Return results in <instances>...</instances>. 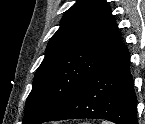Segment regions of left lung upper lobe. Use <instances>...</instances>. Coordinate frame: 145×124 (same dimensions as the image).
I'll list each match as a JSON object with an SVG mask.
<instances>
[{
  "label": "left lung upper lobe",
  "instance_id": "left-lung-upper-lobe-1",
  "mask_svg": "<svg viewBox=\"0 0 145 124\" xmlns=\"http://www.w3.org/2000/svg\"><path fill=\"white\" fill-rule=\"evenodd\" d=\"M122 45L110 6L78 0L63 16L36 71L22 124H41Z\"/></svg>",
  "mask_w": 145,
  "mask_h": 124
}]
</instances>
